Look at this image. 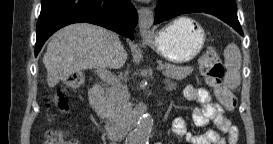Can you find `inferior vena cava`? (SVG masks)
Wrapping results in <instances>:
<instances>
[{"label": "inferior vena cava", "instance_id": "obj_1", "mask_svg": "<svg viewBox=\"0 0 273 144\" xmlns=\"http://www.w3.org/2000/svg\"><path fill=\"white\" fill-rule=\"evenodd\" d=\"M110 41H111V43H110V53L112 55H115L119 51L120 40H119L118 36L115 33L111 32Z\"/></svg>", "mask_w": 273, "mask_h": 144}]
</instances>
